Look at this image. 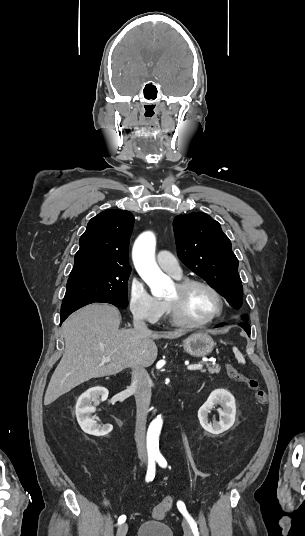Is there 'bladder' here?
<instances>
[{"instance_id": "31cf9c89", "label": "bladder", "mask_w": 305, "mask_h": 536, "mask_svg": "<svg viewBox=\"0 0 305 536\" xmlns=\"http://www.w3.org/2000/svg\"><path fill=\"white\" fill-rule=\"evenodd\" d=\"M135 536H174V532L167 521L146 520L136 527Z\"/></svg>"}]
</instances>
